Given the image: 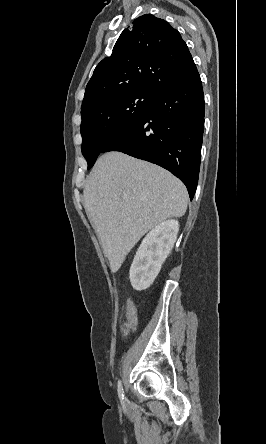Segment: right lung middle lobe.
I'll return each mask as SVG.
<instances>
[{"mask_svg":"<svg viewBox=\"0 0 266 444\" xmlns=\"http://www.w3.org/2000/svg\"><path fill=\"white\" fill-rule=\"evenodd\" d=\"M155 96L148 91H122L103 97L81 111V150L88 169L110 140L149 113Z\"/></svg>","mask_w":266,"mask_h":444,"instance_id":"dd1d6c3e","label":"right lung middle lobe"}]
</instances>
